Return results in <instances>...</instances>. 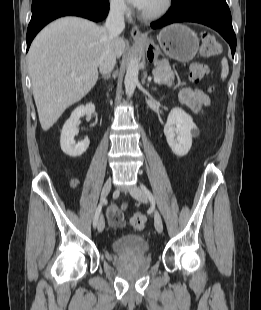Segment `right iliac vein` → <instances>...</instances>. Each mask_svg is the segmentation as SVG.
I'll use <instances>...</instances> for the list:
<instances>
[{"label": "right iliac vein", "instance_id": "obj_1", "mask_svg": "<svg viewBox=\"0 0 261 310\" xmlns=\"http://www.w3.org/2000/svg\"><path fill=\"white\" fill-rule=\"evenodd\" d=\"M111 186H112L111 179H108L106 181V183L104 184L103 189H102V193H101V201L102 202L105 201V198L109 194V192L111 190ZM97 224H98V231L102 232L104 230V227H105V221H104L103 215L100 216Z\"/></svg>", "mask_w": 261, "mask_h": 310}]
</instances>
